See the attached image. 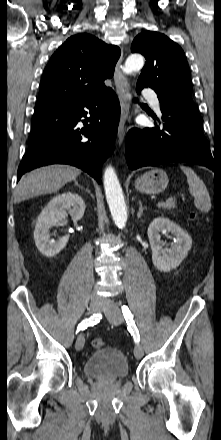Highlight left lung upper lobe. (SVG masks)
<instances>
[{"mask_svg": "<svg viewBox=\"0 0 221 440\" xmlns=\"http://www.w3.org/2000/svg\"><path fill=\"white\" fill-rule=\"evenodd\" d=\"M131 51L146 58L137 85L152 88L162 103L198 113L191 97L190 69L178 44L164 34L144 31L133 40Z\"/></svg>", "mask_w": 221, "mask_h": 440, "instance_id": "1", "label": "left lung upper lobe"}]
</instances>
